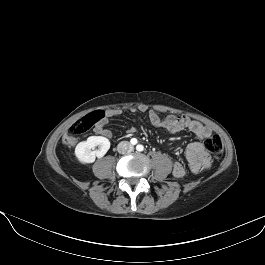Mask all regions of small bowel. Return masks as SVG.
I'll return each mask as SVG.
<instances>
[{
  "mask_svg": "<svg viewBox=\"0 0 265 265\" xmlns=\"http://www.w3.org/2000/svg\"><path fill=\"white\" fill-rule=\"evenodd\" d=\"M144 112L146 108L144 106L137 108H132L130 110L131 113H136L137 111ZM121 114V110L119 109H110L108 110L103 119L100 120L95 128L94 131L96 134L111 139L112 132L106 128L110 118L118 116ZM155 112L150 111L149 117L151 123L156 127H163L169 132H178L183 129H187L190 132L194 133L199 139H206L211 134L212 131L209 127L203 125L199 121H195L190 119L187 116L180 115V116H170L165 119H153V115ZM135 128L128 129V133L135 132ZM185 156L188 161L189 169L192 173L198 174L210 167V158L205 150L204 145L201 142H192L187 145L185 149ZM173 174L175 177H183L185 174V168L183 164L179 161H175L173 164Z\"/></svg>",
  "mask_w": 265,
  "mask_h": 265,
  "instance_id": "1",
  "label": "small bowel"
}]
</instances>
